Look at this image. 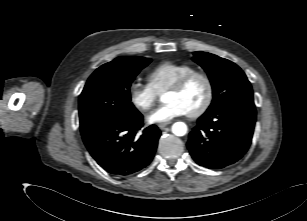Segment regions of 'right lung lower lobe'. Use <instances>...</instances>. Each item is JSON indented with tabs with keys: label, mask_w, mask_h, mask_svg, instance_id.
Masks as SVG:
<instances>
[{
	"label": "right lung lower lobe",
	"mask_w": 307,
	"mask_h": 221,
	"mask_svg": "<svg viewBox=\"0 0 307 221\" xmlns=\"http://www.w3.org/2000/svg\"><path fill=\"white\" fill-rule=\"evenodd\" d=\"M143 126L140 112L123 121L100 124L82 135L95 161L108 173L128 176L146 167L154 156L160 130L151 125L138 137Z\"/></svg>",
	"instance_id": "1"
}]
</instances>
